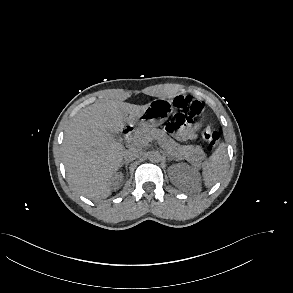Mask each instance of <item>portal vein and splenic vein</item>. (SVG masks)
<instances>
[{"label":"portal vein and splenic vein","mask_w":293,"mask_h":293,"mask_svg":"<svg viewBox=\"0 0 293 293\" xmlns=\"http://www.w3.org/2000/svg\"><path fill=\"white\" fill-rule=\"evenodd\" d=\"M133 141H134V142H137V141H138L137 137H136V138H133Z\"/></svg>","instance_id":"portal-vein-and-splenic-vein-1"}]
</instances>
